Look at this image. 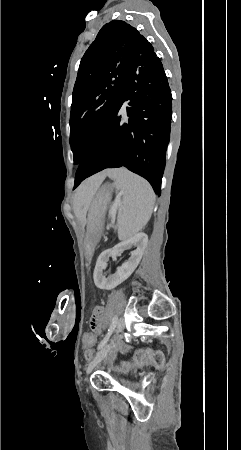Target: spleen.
<instances>
[{
    "label": "spleen",
    "instance_id": "3e777b00",
    "mask_svg": "<svg viewBox=\"0 0 241 450\" xmlns=\"http://www.w3.org/2000/svg\"><path fill=\"white\" fill-rule=\"evenodd\" d=\"M108 176L114 180V188L124 192V202L117 220L118 238L128 240L149 222L156 196L147 180L129 170L116 168L109 170Z\"/></svg>",
    "mask_w": 241,
    "mask_h": 450
}]
</instances>
